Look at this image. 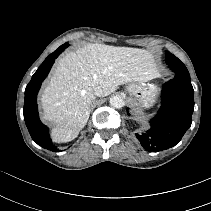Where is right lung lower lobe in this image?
Returning <instances> with one entry per match:
<instances>
[{"label": "right lung lower lobe", "instance_id": "1", "mask_svg": "<svg viewBox=\"0 0 211 211\" xmlns=\"http://www.w3.org/2000/svg\"><path fill=\"white\" fill-rule=\"evenodd\" d=\"M63 50L62 47H59L55 52L50 54L32 76L31 81L25 89L23 109L24 120L32 139L39 146L54 152H58L59 149L52 143L48 127L39 119L36 97L40 86L47 77L55 59Z\"/></svg>", "mask_w": 211, "mask_h": 211}]
</instances>
